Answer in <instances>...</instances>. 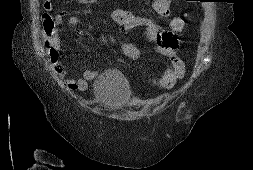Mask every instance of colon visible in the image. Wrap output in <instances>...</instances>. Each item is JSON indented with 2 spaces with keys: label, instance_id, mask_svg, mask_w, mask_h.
<instances>
[{
  "label": "colon",
  "instance_id": "colon-1",
  "mask_svg": "<svg viewBox=\"0 0 253 170\" xmlns=\"http://www.w3.org/2000/svg\"><path fill=\"white\" fill-rule=\"evenodd\" d=\"M176 27H181V23L180 22H177L175 24ZM43 28H44V31L46 33H50L52 32L53 28H54V20L52 18L51 15L49 14H44L43 16ZM49 55H50V58L53 60V61H57L58 58H59V55H60V51H59V48L57 45H54L52 43H49Z\"/></svg>",
  "mask_w": 253,
  "mask_h": 170
}]
</instances>
